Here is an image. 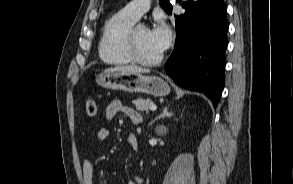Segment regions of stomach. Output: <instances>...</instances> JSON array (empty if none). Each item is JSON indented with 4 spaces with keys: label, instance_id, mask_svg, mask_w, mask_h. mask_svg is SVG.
Listing matches in <instances>:
<instances>
[{
    "label": "stomach",
    "instance_id": "stomach-1",
    "mask_svg": "<svg viewBox=\"0 0 293 184\" xmlns=\"http://www.w3.org/2000/svg\"><path fill=\"white\" fill-rule=\"evenodd\" d=\"M96 83L106 89L129 93H146L160 97L170 93L169 85L162 78L140 73L105 71L97 76Z\"/></svg>",
    "mask_w": 293,
    "mask_h": 184
}]
</instances>
